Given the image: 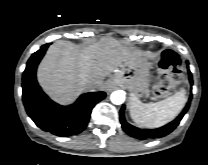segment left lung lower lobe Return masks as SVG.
I'll return each instance as SVG.
<instances>
[{
  "label": "left lung lower lobe",
  "mask_w": 208,
  "mask_h": 165,
  "mask_svg": "<svg viewBox=\"0 0 208 165\" xmlns=\"http://www.w3.org/2000/svg\"><path fill=\"white\" fill-rule=\"evenodd\" d=\"M188 74H189V81L192 84L193 82L192 73L188 71ZM191 98L192 96H190L189 101L186 104L185 108L174 121L157 129H139L127 123L124 117L125 106L123 105L119 112L122 128L127 134L140 140L164 137L168 135L169 133H171L179 125L183 116L186 114L187 110L189 109Z\"/></svg>",
  "instance_id": "1"
}]
</instances>
